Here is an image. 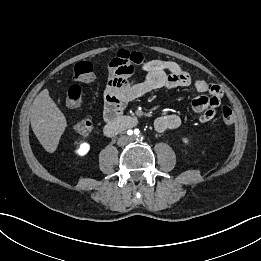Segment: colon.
I'll return each mask as SVG.
<instances>
[{
  "instance_id": "obj_1",
  "label": "colon",
  "mask_w": 261,
  "mask_h": 261,
  "mask_svg": "<svg viewBox=\"0 0 261 261\" xmlns=\"http://www.w3.org/2000/svg\"><path fill=\"white\" fill-rule=\"evenodd\" d=\"M118 65L132 71L134 66L146 64V60L141 53L129 52L121 50L113 60ZM74 80L77 82H90L94 79L93 66L88 61H82L75 65L73 71ZM83 99V91L80 85L74 84L67 91L65 104L67 107H77ZM221 118L224 124L231 125L235 120L233 111L225 106L221 111ZM93 129V124L89 119H81L74 125V130L82 136L90 134Z\"/></svg>"
}]
</instances>
